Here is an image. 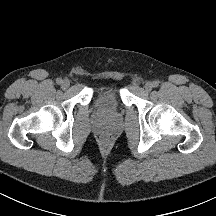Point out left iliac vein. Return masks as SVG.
I'll return each mask as SVG.
<instances>
[{"label": "left iliac vein", "instance_id": "obj_1", "mask_svg": "<svg viewBox=\"0 0 216 216\" xmlns=\"http://www.w3.org/2000/svg\"><path fill=\"white\" fill-rule=\"evenodd\" d=\"M144 88H145V90H146L147 92H150V91L152 90V88H153V84H152L151 82H147V83L145 84Z\"/></svg>", "mask_w": 216, "mask_h": 216}]
</instances>
